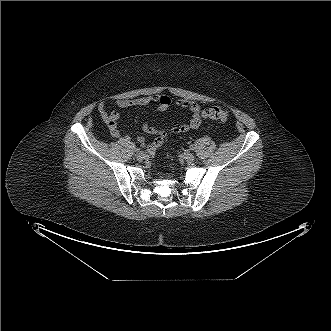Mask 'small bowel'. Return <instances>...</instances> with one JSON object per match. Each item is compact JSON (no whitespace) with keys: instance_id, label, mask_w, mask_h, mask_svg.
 Instances as JSON below:
<instances>
[{"instance_id":"small-bowel-1","label":"small bowel","mask_w":331,"mask_h":331,"mask_svg":"<svg viewBox=\"0 0 331 331\" xmlns=\"http://www.w3.org/2000/svg\"><path fill=\"white\" fill-rule=\"evenodd\" d=\"M173 104L182 109L189 110L192 113V117L189 121L174 125L170 128H156L151 125L150 122L145 121L142 125V130L155 136L152 141H146L140 137L139 141L145 146L149 152H153L158 149L164 142L168 132L172 134L185 133L190 130H197L201 126L202 119L205 117L204 110L195 101L187 99H178L173 101L166 95H150L137 98L119 99L115 101V105L120 109H127L132 107H146L153 111L164 112L167 111ZM98 113L104 123L108 126L110 134L114 138L121 136L118 129V121L120 120V114L117 112H108L106 103L101 102L98 105ZM125 140H129V136L124 137Z\"/></svg>"}]
</instances>
